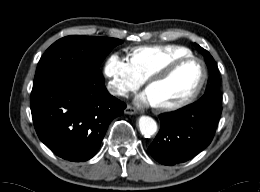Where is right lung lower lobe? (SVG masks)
Instances as JSON below:
<instances>
[{"label":"right lung lower lobe","instance_id":"98d812e1","mask_svg":"<svg viewBox=\"0 0 260 192\" xmlns=\"http://www.w3.org/2000/svg\"><path fill=\"white\" fill-rule=\"evenodd\" d=\"M101 74L64 69L34 84L31 112L40 140L70 161L92 158L108 125L126 104L111 96Z\"/></svg>","mask_w":260,"mask_h":192}]
</instances>
